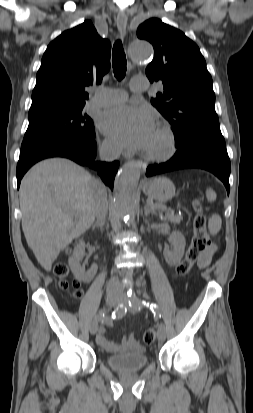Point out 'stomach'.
<instances>
[{
  "mask_svg": "<svg viewBox=\"0 0 253 413\" xmlns=\"http://www.w3.org/2000/svg\"><path fill=\"white\" fill-rule=\"evenodd\" d=\"M143 192L152 200L166 202L175 195V186L168 178L157 177L144 182Z\"/></svg>",
  "mask_w": 253,
  "mask_h": 413,
  "instance_id": "0dacf381",
  "label": "stomach"
}]
</instances>
